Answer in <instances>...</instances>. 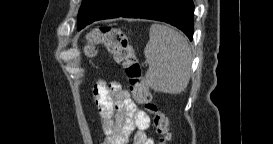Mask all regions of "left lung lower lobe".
I'll return each mask as SVG.
<instances>
[{
    "label": "left lung lower lobe",
    "mask_w": 273,
    "mask_h": 144,
    "mask_svg": "<svg viewBox=\"0 0 273 144\" xmlns=\"http://www.w3.org/2000/svg\"><path fill=\"white\" fill-rule=\"evenodd\" d=\"M78 13V30L101 19L128 17L167 22L193 38L192 0H94Z\"/></svg>",
    "instance_id": "0a47b994"
}]
</instances>
